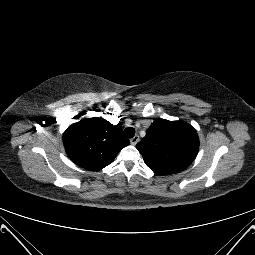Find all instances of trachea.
Listing matches in <instances>:
<instances>
[{
	"label": "trachea",
	"mask_w": 255,
	"mask_h": 255,
	"mask_svg": "<svg viewBox=\"0 0 255 255\" xmlns=\"http://www.w3.org/2000/svg\"><path fill=\"white\" fill-rule=\"evenodd\" d=\"M123 134L126 138H132L135 135V129L132 127L126 128Z\"/></svg>",
	"instance_id": "3493384b"
}]
</instances>
